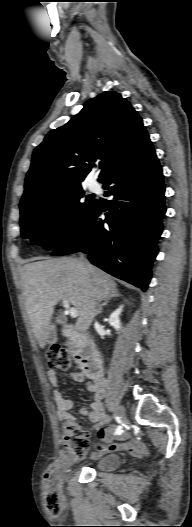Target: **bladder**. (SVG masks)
<instances>
[{
  "mask_svg": "<svg viewBox=\"0 0 192 527\" xmlns=\"http://www.w3.org/2000/svg\"><path fill=\"white\" fill-rule=\"evenodd\" d=\"M121 464L118 454L107 453L99 456L94 463V469L98 472H110L117 469Z\"/></svg>",
  "mask_w": 192,
  "mask_h": 527,
  "instance_id": "1",
  "label": "bladder"
}]
</instances>
